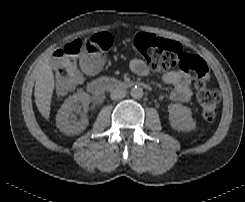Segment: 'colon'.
<instances>
[{
    "instance_id": "1",
    "label": "colon",
    "mask_w": 245,
    "mask_h": 202,
    "mask_svg": "<svg viewBox=\"0 0 245 202\" xmlns=\"http://www.w3.org/2000/svg\"><path fill=\"white\" fill-rule=\"evenodd\" d=\"M113 43L110 34L102 33L59 46L53 52L58 64L57 84L66 87L74 82L73 74L76 70L74 57L106 52ZM132 46L155 72H164L178 65L182 70L192 74L196 81L201 115L206 121L214 119L220 94L216 89L210 88L209 69L201 57L189 54L179 42L158 38L145 32H139L133 37Z\"/></svg>"
}]
</instances>
